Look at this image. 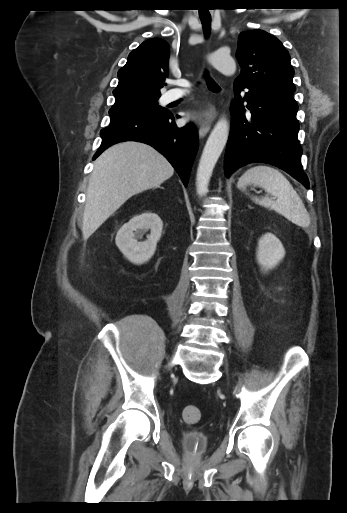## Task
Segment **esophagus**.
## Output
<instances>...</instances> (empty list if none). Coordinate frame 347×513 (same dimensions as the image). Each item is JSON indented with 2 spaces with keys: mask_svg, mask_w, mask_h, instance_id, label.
Segmentation results:
<instances>
[{
  "mask_svg": "<svg viewBox=\"0 0 347 513\" xmlns=\"http://www.w3.org/2000/svg\"><path fill=\"white\" fill-rule=\"evenodd\" d=\"M216 109L214 104H208L205 112L199 120V137L203 138L210 130L213 116L215 115Z\"/></svg>",
  "mask_w": 347,
  "mask_h": 513,
  "instance_id": "obj_1",
  "label": "esophagus"
}]
</instances>
